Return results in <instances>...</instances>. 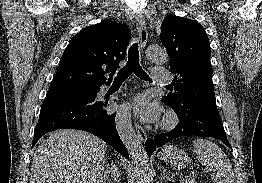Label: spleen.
Wrapping results in <instances>:
<instances>
[{"instance_id":"1","label":"spleen","mask_w":262,"mask_h":183,"mask_svg":"<svg viewBox=\"0 0 262 183\" xmlns=\"http://www.w3.org/2000/svg\"><path fill=\"white\" fill-rule=\"evenodd\" d=\"M192 143L198 161L214 169L212 175L214 182L234 183L232 165L218 145L206 139H197Z\"/></svg>"}]
</instances>
